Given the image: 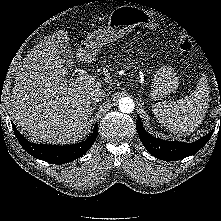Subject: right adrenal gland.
<instances>
[{
	"label": "right adrenal gland",
	"mask_w": 221,
	"mask_h": 221,
	"mask_svg": "<svg viewBox=\"0 0 221 221\" xmlns=\"http://www.w3.org/2000/svg\"><path fill=\"white\" fill-rule=\"evenodd\" d=\"M95 105H96L95 102H93V103L91 104V114H92L93 110L95 109Z\"/></svg>",
	"instance_id": "obj_1"
}]
</instances>
